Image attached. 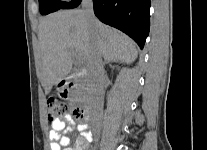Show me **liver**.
<instances>
[{
	"instance_id": "liver-1",
	"label": "liver",
	"mask_w": 207,
	"mask_h": 150,
	"mask_svg": "<svg viewBox=\"0 0 207 150\" xmlns=\"http://www.w3.org/2000/svg\"><path fill=\"white\" fill-rule=\"evenodd\" d=\"M45 93L71 72L73 56L88 65L94 50L105 61L132 63L138 56L135 43L98 20L89 24L80 9L52 13L39 23L38 32Z\"/></svg>"
}]
</instances>
